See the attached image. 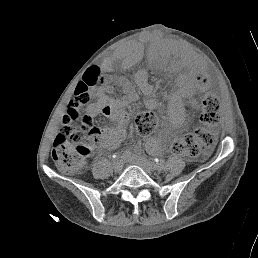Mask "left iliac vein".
Here are the masks:
<instances>
[{"label": "left iliac vein", "instance_id": "left-iliac-vein-1", "mask_svg": "<svg viewBox=\"0 0 258 258\" xmlns=\"http://www.w3.org/2000/svg\"><path fill=\"white\" fill-rule=\"evenodd\" d=\"M133 163L140 166L148 174L152 173L155 169L153 163L142 157L136 158V160Z\"/></svg>", "mask_w": 258, "mask_h": 258}]
</instances>
